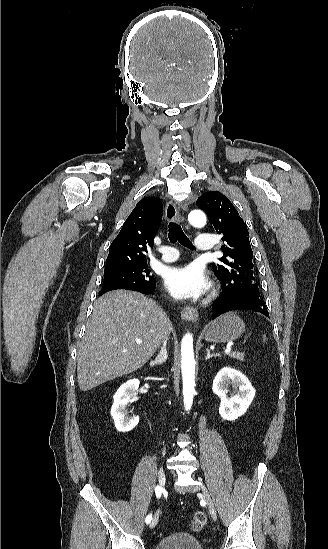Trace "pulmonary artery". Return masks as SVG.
Segmentation results:
<instances>
[{"label": "pulmonary artery", "instance_id": "1", "mask_svg": "<svg viewBox=\"0 0 328 549\" xmlns=\"http://www.w3.org/2000/svg\"><path fill=\"white\" fill-rule=\"evenodd\" d=\"M193 243L201 252H214L217 248L213 237H196ZM177 252L180 254L182 251L179 249ZM177 256L175 252L167 247L162 249V259L165 262H172Z\"/></svg>", "mask_w": 328, "mask_h": 549}]
</instances>
